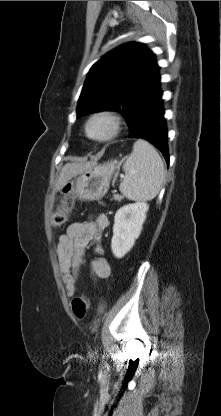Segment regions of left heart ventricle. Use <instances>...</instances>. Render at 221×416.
<instances>
[{
  "label": "left heart ventricle",
  "instance_id": "1",
  "mask_svg": "<svg viewBox=\"0 0 221 416\" xmlns=\"http://www.w3.org/2000/svg\"><path fill=\"white\" fill-rule=\"evenodd\" d=\"M106 124L104 123V122H102V121H97V122H95L92 126H91V132L94 134V135H100V134H102V133H104L105 132V130H106Z\"/></svg>",
  "mask_w": 221,
  "mask_h": 416
}]
</instances>
